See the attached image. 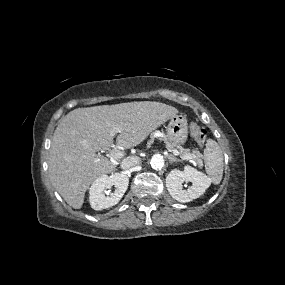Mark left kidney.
Returning a JSON list of instances; mask_svg holds the SVG:
<instances>
[{
	"instance_id": "5707ae66",
	"label": "left kidney",
	"mask_w": 285,
	"mask_h": 285,
	"mask_svg": "<svg viewBox=\"0 0 285 285\" xmlns=\"http://www.w3.org/2000/svg\"><path fill=\"white\" fill-rule=\"evenodd\" d=\"M183 182H191L187 190L182 189ZM210 179L196 169L186 166L184 171L173 169L166 177V187L170 195L179 202L186 203L200 197L210 186Z\"/></svg>"
}]
</instances>
